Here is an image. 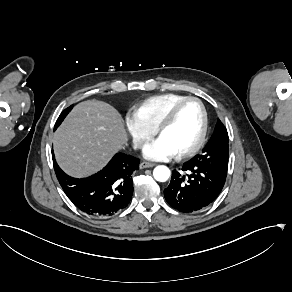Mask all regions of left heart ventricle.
<instances>
[{"label": "left heart ventricle", "instance_id": "b2bd125f", "mask_svg": "<svg viewBox=\"0 0 292 292\" xmlns=\"http://www.w3.org/2000/svg\"><path fill=\"white\" fill-rule=\"evenodd\" d=\"M201 122V112L196 102H187L177 111L174 119L162 131L165 138L179 151L191 146L196 140Z\"/></svg>", "mask_w": 292, "mask_h": 292}]
</instances>
